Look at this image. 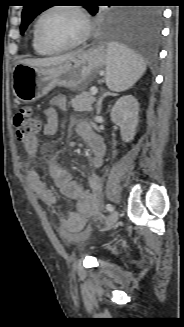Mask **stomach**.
<instances>
[{
  "mask_svg": "<svg viewBox=\"0 0 184 327\" xmlns=\"http://www.w3.org/2000/svg\"><path fill=\"white\" fill-rule=\"evenodd\" d=\"M107 64V48L98 44L78 53L72 59L51 67H33L18 63L12 74V89L23 103L37 101L55 86L79 90L97 76Z\"/></svg>",
  "mask_w": 184,
  "mask_h": 327,
  "instance_id": "obj_1",
  "label": "stomach"
}]
</instances>
